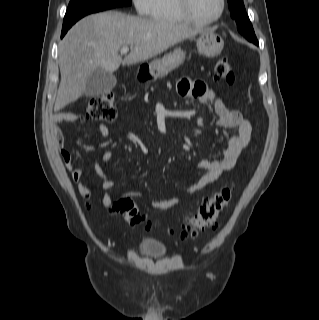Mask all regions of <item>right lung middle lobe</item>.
I'll return each mask as SVG.
<instances>
[{
	"label": "right lung middle lobe",
	"instance_id": "1",
	"mask_svg": "<svg viewBox=\"0 0 319 320\" xmlns=\"http://www.w3.org/2000/svg\"><path fill=\"white\" fill-rule=\"evenodd\" d=\"M131 5V0H70L63 29L70 28L80 18L99 11Z\"/></svg>",
	"mask_w": 319,
	"mask_h": 320
}]
</instances>
